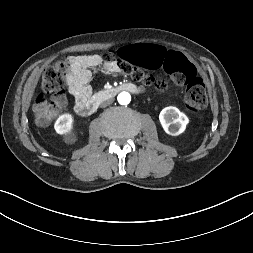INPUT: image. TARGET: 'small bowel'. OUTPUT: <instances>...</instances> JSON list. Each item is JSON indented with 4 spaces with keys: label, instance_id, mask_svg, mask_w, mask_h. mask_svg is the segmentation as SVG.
I'll list each match as a JSON object with an SVG mask.
<instances>
[{
    "label": "small bowel",
    "instance_id": "small-bowel-1",
    "mask_svg": "<svg viewBox=\"0 0 253 253\" xmlns=\"http://www.w3.org/2000/svg\"><path fill=\"white\" fill-rule=\"evenodd\" d=\"M69 72L66 81L69 92L75 98L76 103L88 99L92 95L90 86L92 69L102 66L104 70L111 74L120 71L116 62H104L99 55H75L70 56ZM139 90H142L139 87Z\"/></svg>",
    "mask_w": 253,
    "mask_h": 253
}]
</instances>
